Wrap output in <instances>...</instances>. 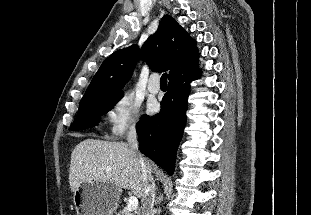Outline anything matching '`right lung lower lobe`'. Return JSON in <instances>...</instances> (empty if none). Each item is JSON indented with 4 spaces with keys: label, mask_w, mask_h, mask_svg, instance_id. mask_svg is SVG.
Returning a JSON list of instances; mask_svg holds the SVG:
<instances>
[{
    "label": "right lung lower lobe",
    "mask_w": 311,
    "mask_h": 215,
    "mask_svg": "<svg viewBox=\"0 0 311 215\" xmlns=\"http://www.w3.org/2000/svg\"><path fill=\"white\" fill-rule=\"evenodd\" d=\"M200 74L193 67L170 79L160 113L152 117L144 115L136 125L139 150L170 175L174 172L177 146L186 124L190 82Z\"/></svg>",
    "instance_id": "98d812e1"
}]
</instances>
